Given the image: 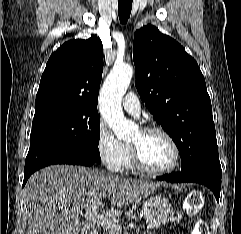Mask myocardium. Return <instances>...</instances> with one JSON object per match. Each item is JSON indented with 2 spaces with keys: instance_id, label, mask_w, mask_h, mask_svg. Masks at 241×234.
I'll list each match as a JSON object with an SVG mask.
<instances>
[{
  "instance_id": "1",
  "label": "myocardium",
  "mask_w": 241,
  "mask_h": 234,
  "mask_svg": "<svg viewBox=\"0 0 241 234\" xmlns=\"http://www.w3.org/2000/svg\"><path fill=\"white\" fill-rule=\"evenodd\" d=\"M141 133L143 135H148V134H153V133H159L163 135L172 145L173 150H174V160L172 164L164 169H153L147 166L140 153V148L137 144L130 143V155H131V160L134 165V167L139 170L140 172H143L148 175H153V176H162L166 175L168 173L173 172L179 165L180 159H181V150L180 147L175 140V138L172 136L171 133H169L166 129L160 127V126H148L140 129Z\"/></svg>"
}]
</instances>
